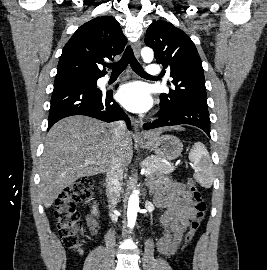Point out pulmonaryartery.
I'll return each instance as SVG.
<instances>
[{
	"label": "pulmonary artery",
	"mask_w": 267,
	"mask_h": 270,
	"mask_svg": "<svg viewBox=\"0 0 267 270\" xmlns=\"http://www.w3.org/2000/svg\"><path fill=\"white\" fill-rule=\"evenodd\" d=\"M146 72L149 75H156L159 73V67L155 64H150L147 66ZM108 80H109V77L104 78V81H108Z\"/></svg>",
	"instance_id": "1"
}]
</instances>
